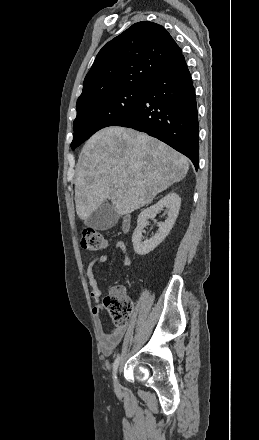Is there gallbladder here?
Listing matches in <instances>:
<instances>
[{
    "label": "gallbladder",
    "instance_id": "gallbladder-1",
    "mask_svg": "<svg viewBox=\"0 0 259 440\" xmlns=\"http://www.w3.org/2000/svg\"><path fill=\"white\" fill-rule=\"evenodd\" d=\"M119 218L120 215L116 212L113 205L106 203L85 219L84 224L95 230H108L117 224Z\"/></svg>",
    "mask_w": 259,
    "mask_h": 440
}]
</instances>
